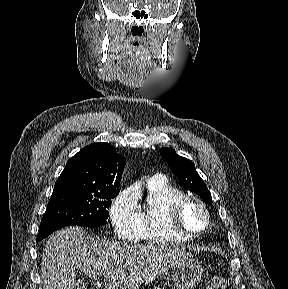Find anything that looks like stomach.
<instances>
[{
  "label": "stomach",
  "instance_id": "1",
  "mask_svg": "<svg viewBox=\"0 0 288 289\" xmlns=\"http://www.w3.org/2000/svg\"><path fill=\"white\" fill-rule=\"evenodd\" d=\"M202 275L201 264L189 259L173 267L172 284L176 289H194L200 283Z\"/></svg>",
  "mask_w": 288,
  "mask_h": 289
}]
</instances>
